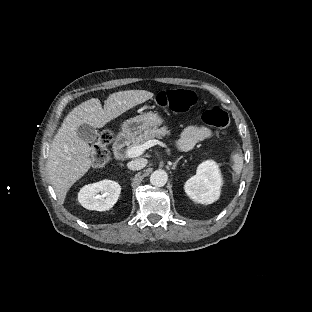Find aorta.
Listing matches in <instances>:
<instances>
[{
  "label": "aorta",
  "instance_id": "1",
  "mask_svg": "<svg viewBox=\"0 0 312 312\" xmlns=\"http://www.w3.org/2000/svg\"><path fill=\"white\" fill-rule=\"evenodd\" d=\"M168 180V175L163 170H156L150 176V184L154 187H163Z\"/></svg>",
  "mask_w": 312,
  "mask_h": 312
}]
</instances>
